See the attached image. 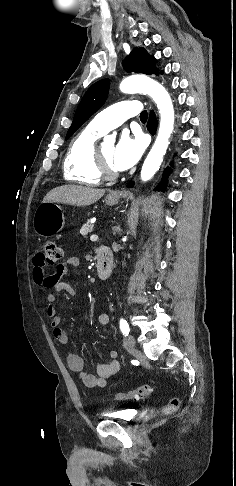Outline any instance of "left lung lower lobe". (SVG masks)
<instances>
[{"mask_svg":"<svg viewBox=\"0 0 236 486\" xmlns=\"http://www.w3.org/2000/svg\"><path fill=\"white\" fill-rule=\"evenodd\" d=\"M147 127H148V130L152 134H153L154 131H156V128H157V120H156V117H155V114H154L153 111H151V113H150V117H149V121H148ZM170 172H171V169L170 168H166L165 169V171L163 173V178H162L161 184H159L158 188H156L158 191L165 189V186H166V178H167V176H168V174ZM132 186H133V183L128 184V187H132Z\"/></svg>","mask_w":236,"mask_h":486,"instance_id":"left-lung-lower-lobe-1","label":"left lung lower lobe"}]
</instances>
